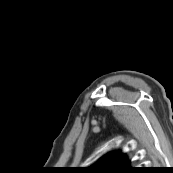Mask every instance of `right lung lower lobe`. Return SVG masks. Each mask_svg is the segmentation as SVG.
Segmentation results:
<instances>
[{
	"label": "right lung lower lobe",
	"mask_w": 173,
	"mask_h": 173,
	"mask_svg": "<svg viewBox=\"0 0 173 173\" xmlns=\"http://www.w3.org/2000/svg\"><path fill=\"white\" fill-rule=\"evenodd\" d=\"M140 171H138L137 169H132L131 171H129L128 173H139Z\"/></svg>",
	"instance_id": "1"
}]
</instances>
